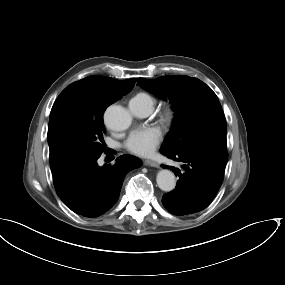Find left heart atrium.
Returning <instances> with one entry per match:
<instances>
[{
    "label": "left heart atrium",
    "instance_id": "1",
    "mask_svg": "<svg viewBox=\"0 0 285 285\" xmlns=\"http://www.w3.org/2000/svg\"><path fill=\"white\" fill-rule=\"evenodd\" d=\"M163 138L159 127H143L133 130L125 140V148L140 157L151 155Z\"/></svg>",
    "mask_w": 285,
    "mask_h": 285
}]
</instances>
